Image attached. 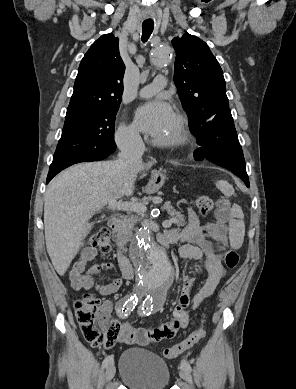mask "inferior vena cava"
I'll list each match as a JSON object with an SVG mask.
<instances>
[{
	"instance_id": "602c4592",
	"label": "inferior vena cava",
	"mask_w": 296,
	"mask_h": 389,
	"mask_svg": "<svg viewBox=\"0 0 296 389\" xmlns=\"http://www.w3.org/2000/svg\"><path fill=\"white\" fill-rule=\"evenodd\" d=\"M145 146L138 133H129L120 144L119 161L124 166H131L141 160Z\"/></svg>"
}]
</instances>
